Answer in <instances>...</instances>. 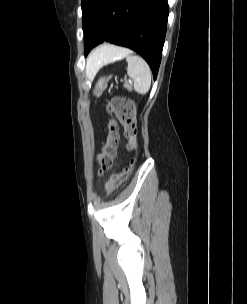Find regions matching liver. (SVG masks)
Wrapping results in <instances>:
<instances>
[{
	"mask_svg": "<svg viewBox=\"0 0 247 304\" xmlns=\"http://www.w3.org/2000/svg\"><path fill=\"white\" fill-rule=\"evenodd\" d=\"M122 51H128L127 49L115 47L112 45H102L97 48L87 61L86 74L88 77L94 75L98 69L104 65L107 60L113 55Z\"/></svg>",
	"mask_w": 247,
	"mask_h": 304,
	"instance_id": "6515ba94",
	"label": "liver"
}]
</instances>
